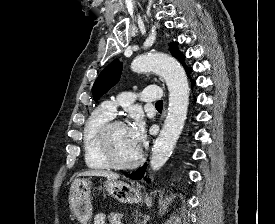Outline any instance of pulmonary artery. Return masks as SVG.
I'll return each mask as SVG.
<instances>
[{
  "label": "pulmonary artery",
  "mask_w": 275,
  "mask_h": 224,
  "mask_svg": "<svg viewBox=\"0 0 275 224\" xmlns=\"http://www.w3.org/2000/svg\"><path fill=\"white\" fill-rule=\"evenodd\" d=\"M134 98H138L144 102L160 101L162 98V90L159 87H145L139 92H126L111 99L104 101L101 107L111 116L119 105L126 106L132 102Z\"/></svg>",
  "instance_id": "e3ab8cb5"
}]
</instances>
